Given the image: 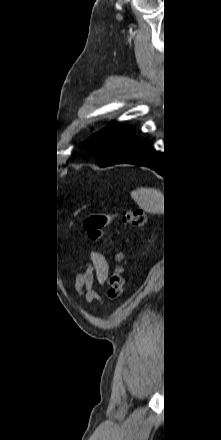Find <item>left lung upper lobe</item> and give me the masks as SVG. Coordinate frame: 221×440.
Instances as JSON below:
<instances>
[{
	"label": "left lung upper lobe",
	"instance_id": "obj_1",
	"mask_svg": "<svg viewBox=\"0 0 221 440\" xmlns=\"http://www.w3.org/2000/svg\"><path fill=\"white\" fill-rule=\"evenodd\" d=\"M133 136L132 127L112 124L79 144V147L95 156L99 166L105 167L122 158Z\"/></svg>",
	"mask_w": 221,
	"mask_h": 440
}]
</instances>
